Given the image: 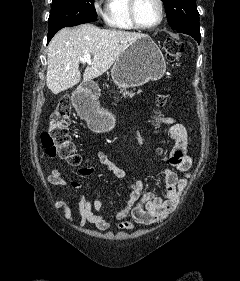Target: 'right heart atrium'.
Segmentation results:
<instances>
[{
  "label": "right heart atrium",
  "instance_id": "1",
  "mask_svg": "<svg viewBox=\"0 0 240 281\" xmlns=\"http://www.w3.org/2000/svg\"><path fill=\"white\" fill-rule=\"evenodd\" d=\"M93 7L98 14L104 15V8H103L100 0H94Z\"/></svg>",
  "mask_w": 240,
  "mask_h": 281
}]
</instances>
